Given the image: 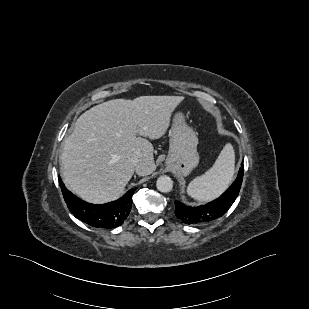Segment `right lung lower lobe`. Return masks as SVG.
I'll return each mask as SVG.
<instances>
[{
	"mask_svg": "<svg viewBox=\"0 0 309 309\" xmlns=\"http://www.w3.org/2000/svg\"><path fill=\"white\" fill-rule=\"evenodd\" d=\"M59 184L65 202L72 214L82 222L96 228H116L131 211L132 196L136 188L129 190L122 198L103 205L89 204L66 189L61 178Z\"/></svg>",
	"mask_w": 309,
	"mask_h": 309,
	"instance_id": "right-lung-lower-lobe-1",
	"label": "right lung lower lobe"
}]
</instances>
